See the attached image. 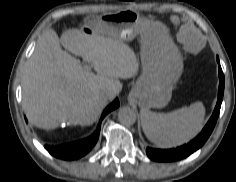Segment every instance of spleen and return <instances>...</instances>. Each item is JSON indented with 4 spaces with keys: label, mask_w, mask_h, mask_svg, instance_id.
<instances>
[{
    "label": "spleen",
    "mask_w": 236,
    "mask_h": 182,
    "mask_svg": "<svg viewBox=\"0 0 236 182\" xmlns=\"http://www.w3.org/2000/svg\"><path fill=\"white\" fill-rule=\"evenodd\" d=\"M205 108L202 102L169 113L141 109V124L146 137L162 148L187 143L202 129Z\"/></svg>",
    "instance_id": "3e777b00"
}]
</instances>
